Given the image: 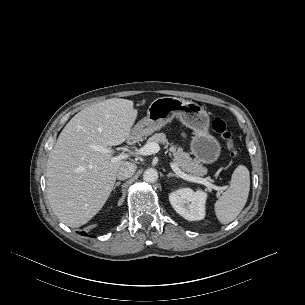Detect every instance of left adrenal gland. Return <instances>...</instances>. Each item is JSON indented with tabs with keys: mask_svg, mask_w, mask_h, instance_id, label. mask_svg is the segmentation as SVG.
Instances as JSON below:
<instances>
[{
	"mask_svg": "<svg viewBox=\"0 0 305 305\" xmlns=\"http://www.w3.org/2000/svg\"><path fill=\"white\" fill-rule=\"evenodd\" d=\"M166 176H167V178H170V177H176V178H178V176H177L176 174H173V173H169V174H167Z\"/></svg>",
	"mask_w": 305,
	"mask_h": 305,
	"instance_id": "1",
	"label": "left adrenal gland"
}]
</instances>
